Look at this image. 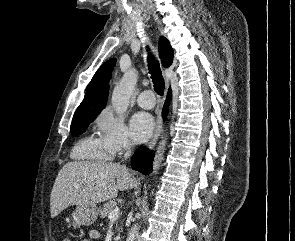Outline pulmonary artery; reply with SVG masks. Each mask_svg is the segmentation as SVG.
I'll use <instances>...</instances> for the list:
<instances>
[{"label": "pulmonary artery", "instance_id": "pulmonary-artery-1", "mask_svg": "<svg viewBox=\"0 0 295 241\" xmlns=\"http://www.w3.org/2000/svg\"><path fill=\"white\" fill-rule=\"evenodd\" d=\"M140 107L144 109H151L155 106V96L151 90L143 91L137 98Z\"/></svg>", "mask_w": 295, "mask_h": 241}]
</instances>
